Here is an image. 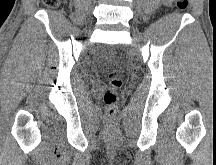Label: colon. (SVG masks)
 Listing matches in <instances>:
<instances>
[{
	"mask_svg": "<svg viewBox=\"0 0 216 165\" xmlns=\"http://www.w3.org/2000/svg\"><path fill=\"white\" fill-rule=\"evenodd\" d=\"M43 3L48 7H55L59 0H43ZM188 0H176V5L179 10H186L188 7ZM123 73L120 70H113L108 74L109 86L104 92V103L107 106V116L110 120H114L118 113L117 101L118 90L123 85Z\"/></svg>",
	"mask_w": 216,
	"mask_h": 165,
	"instance_id": "colon-1",
	"label": "colon"
}]
</instances>
